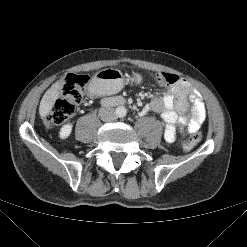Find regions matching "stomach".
I'll return each mask as SVG.
<instances>
[{"label": "stomach", "instance_id": "1", "mask_svg": "<svg viewBox=\"0 0 247 247\" xmlns=\"http://www.w3.org/2000/svg\"><path fill=\"white\" fill-rule=\"evenodd\" d=\"M137 81H140L139 77H137ZM124 83L122 73L114 69L101 70L95 74L92 80V86L99 94L118 91L124 86Z\"/></svg>", "mask_w": 247, "mask_h": 247}]
</instances>
